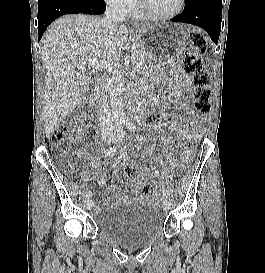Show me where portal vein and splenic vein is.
Returning a JSON list of instances; mask_svg holds the SVG:
<instances>
[{
	"instance_id": "obj_1",
	"label": "portal vein and splenic vein",
	"mask_w": 265,
	"mask_h": 273,
	"mask_svg": "<svg viewBox=\"0 0 265 273\" xmlns=\"http://www.w3.org/2000/svg\"><path fill=\"white\" fill-rule=\"evenodd\" d=\"M117 63L110 62V61H99L97 58H91L88 61V67L93 68L96 70H112L113 68L117 67Z\"/></svg>"
}]
</instances>
